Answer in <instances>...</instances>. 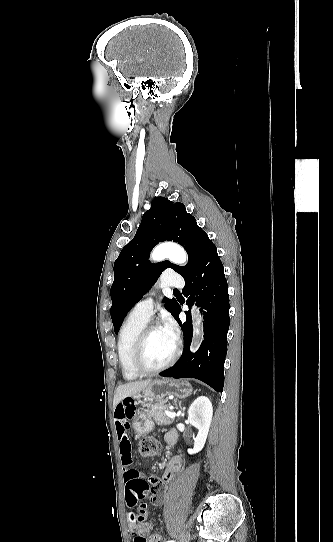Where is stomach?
<instances>
[{
    "label": "stomach",
    "instance_id": "0dacf381",
    "mask_svg": "<svg viewBox=\"0 0 333 542\" xmlns=\"http://www.w3.org/2000/svg\"><path fill=\"white\" fill-rule=\"evenodd\" d=\"M193 388L187 380H152L151 384L140 392L136 396H131L133 400H140V398H147V400H155V402H162L165 396H177V398H188L191 396ZM130 397H121L120 400H131ZM133 428L136 431L133 432V439L142 441L149 435V430L154 428L153 422L149 420H142V418H136L133 422Z\"/></svg>",
    "mask_w": 333,
    "mask_h": 542
}]
</instances>
